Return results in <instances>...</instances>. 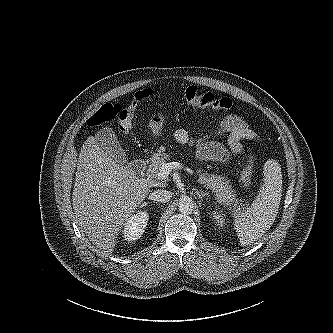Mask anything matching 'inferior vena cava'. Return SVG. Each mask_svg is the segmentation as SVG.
Segmentation results:
<instances>
[{"label": "inferior vena cava", "instance_id": "obj_1", "mask_svg": "<svg viewBox=\"0 0 333 333\" xmlns=\"http://www.w3.org/2000/svg\"><path fill=\"white\" fill-rule=\"evenodd\" d=\"M151 200L161 202V203H166L170 200L171 198V193L167 190H155L154 192L151 193L150 195Z\"/></svg>", "mask_w": 333, "mask_h": 333}]
</instances>
